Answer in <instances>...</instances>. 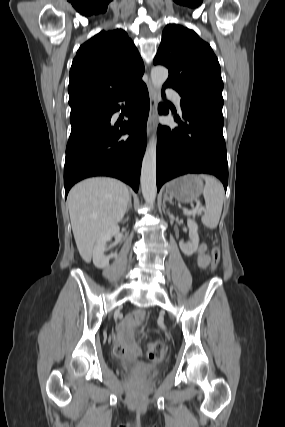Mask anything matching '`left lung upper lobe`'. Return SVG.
<instances>
[{
	"label": "left lung upper lobe",
	"instance_id": "5c2ea615",
	"mask_svg": "<svg viewBox=\"0 0 285 427\" xmlns=\"http://www.w3.org/2000/svg\"><path fill=\"white\" fill-rule=\"evenodd\" d=\"M154 64L168 68L164 86L181 95L182 110L203 108L222 113L223 81L218 59L193 30L167 25Z\"/></svg>",
	"mask_w": 285,
	"mask_h": 427
}]
</instances>
